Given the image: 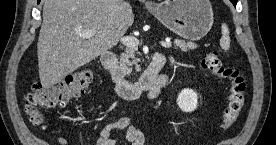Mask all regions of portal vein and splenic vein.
Listing matches in <instances>:
<instances>
[{
	"mask_svg": "<svg viewBox=\"0 0 276 145\" xmlns=\"http://www.w3.org/2000/svg\"><path fill=\"white\" fill-rule=\"evenodd\" d=\"M95 30H88L83 32H78V34L84 38H90L95 34ZM121 42L127 47H136L139 44V40L135 37H123L121 38ZM161 46L165 48H170L172 45L169 41H161Z\"/></svg>",
	"mask_w": 276,
	"mask_h": 145,
	"instance_id": "18ae733b",
	"label": "portal vein and splenic vein"
}]
</instances>
